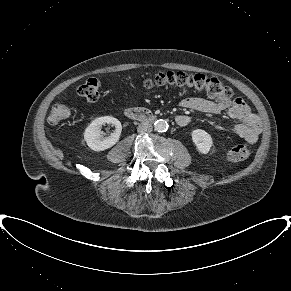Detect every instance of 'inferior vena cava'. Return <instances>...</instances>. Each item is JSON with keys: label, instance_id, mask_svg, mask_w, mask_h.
<instances>
[{"label": "inferior vena cava", "instance_id": "1", "mask_svg": "<svg viewBox=\"0 0 291 291\" xmlns=\"http://www.w3.org/2000/svg\"><path fill=\"white\" fill-rule=\"evenodd\" d=\"M152 129V125L149 122H142L139 124L137 131L141 134H145L151 132Z\"/></svg>", "mask_w": 291, "mask_h": 291}]
</instances>
